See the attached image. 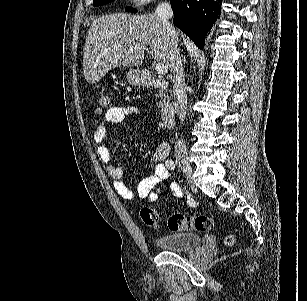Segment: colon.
Returning <instances> with one entry per match:
<instances>
[{
	"label": "colon",
	"instance_id": "5ec220e1",
	"mask_svg": "<svg viewBox=\"0 0 307 301\" xmlns=\"http://www.w3.org/2000/svg\"><path fill=\"white\" fill-rule=\"evenodd\" d=\"M110 99L106 93H101L97 100L96 112L103 114L108 111ZM140 218L148 227H157L160 222L158 212L151 207H143L140 210ZM167 226L171 231H199L207 232L212 229V219L206 215H186L173 213L167 217ZM234 237L228 236L225 240L227 245L234 243Z\"/></svg>",
	"mask_w": 307,
	"mask_h": 301
}]
</instances>
